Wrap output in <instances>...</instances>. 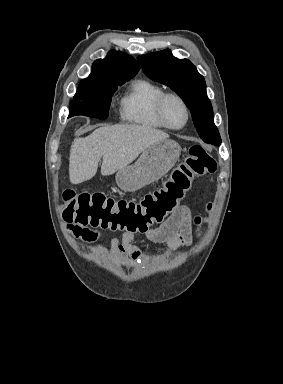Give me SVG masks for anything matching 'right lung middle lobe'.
<instances>
[{
  "label": "right lung middle lobe",
  "instance_id": "dd1d6c3e",
  "mask_svg": "<svg viewBox=\"0 0 283 384\" xmlns=\"http://www.w3.org/2000/svg\"><path fill=\"white\" fill-rule=\"evenodd\" d=\"M119 83H108L100 86H93L77 89L73 100L69 105V116L85 115L104 120L108 117V110L111 97L116 91Z\"/></svg>",
  "mask_w": 283,
  "mask_h": 384
}]
</instances>
